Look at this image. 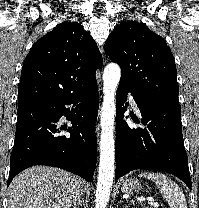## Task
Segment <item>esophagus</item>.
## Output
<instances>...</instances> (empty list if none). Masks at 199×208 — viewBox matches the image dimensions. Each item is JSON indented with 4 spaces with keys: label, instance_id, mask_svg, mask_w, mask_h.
<instances>
[{
    "label": "esophagus",
    "instance_id": "1",
    "mask_svg": "<svg viewBox=\"0 0 199 208\" xmlns=\"http://www.w3.org/2000/svg\"><path fill=\"white\" fill-rule=\"evenodd\" d=\"M97 138H99V125H97Z\"/></svg>",
    "mask_w": 199,
    "mask_h": 208
}]
</instances>
